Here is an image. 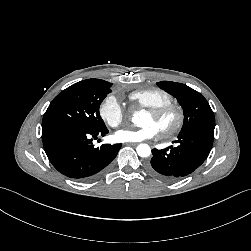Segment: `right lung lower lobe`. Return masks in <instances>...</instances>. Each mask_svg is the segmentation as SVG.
I'll list each match as a JSON object with an SVG mask.
<instances>
[{"instance_id": "1", "label": "right lung lower lobe", "mask_w": 251, "mask_h": 251, "mask_svg": "<svg viewBox=\"0 0 251 251\" xmlns=\"http://www.w3.org/2000/svg\"><path fill=\"white\" fill-rule=\"evenodd\" d=\"M108 130L55 125L42 129L43 147L52 165L63 175L87 180L103 170L118 154L121 144L94 147L93 138Z\"/></svg>"}]
</instances>
